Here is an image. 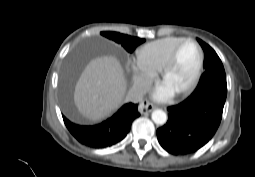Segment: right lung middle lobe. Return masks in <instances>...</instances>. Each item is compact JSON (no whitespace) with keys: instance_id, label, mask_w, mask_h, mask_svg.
<instances>
[{"instance_id":"obj_1","label":"right lung middle lobe","mask_w":255,"mask_h":177,"mask_svg":"<svg viewBox=\"0 0 255 177\" xmlns=\"http://www.w3.org/2000/svg\"><path fill=\"white\" fill-rule=\"evenodd\" d=\"M100 34L110 40L120 43L124 47V49L130 53L134 51L136 46H138L139 44L145 41L144 39H140L138 37H132L129 35L120 34V33L111 32V31H104V32H101ZM67 96H68V92L64 91V94H63L64 102H67Z\"/></svg>"}]
</instances>
